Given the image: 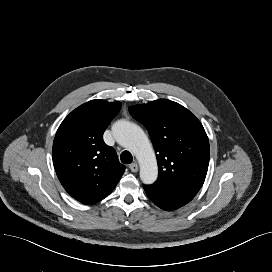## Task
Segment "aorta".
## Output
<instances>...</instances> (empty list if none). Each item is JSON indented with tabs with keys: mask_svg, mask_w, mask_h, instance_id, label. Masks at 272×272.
<instances>
[{
	"mask_svg": "<svg viewBox=\"0 0 272 272\" xmlns=\"http://www.w3.org/2000/svg\"><path fill=\"white\" fill-rule=\"evenodd\" d=\"M117 142L132 151L140 165V179L146 184H153L158 177V166L153 148L144 133L136 124L120 120L113 126Z\"/></svg>",
	"mask_w": 272,
	"mask_h": 272,
	"instance_id": "1",
	"label": "aorta"
}]
</instances>
